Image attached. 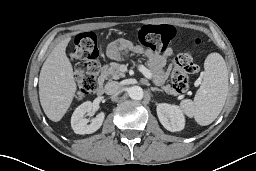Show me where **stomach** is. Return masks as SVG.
<instances>
[{
    "label": "stomach",
    "mask_w": 256,
    "mask_h": 171,
    "mask_svg": "<svg viewBox=\"0 0 256 171\" xmlns=\"http://www.w3.org/2000/svg\"><path fill=\"white\" fill-rule=\"evenodd\" d=\"M108 55L110 58L113 59H119L121 57V54L118 51H108Z\"/></svg>",
    "instance_id": "stomach-1"
}]
</instances>
